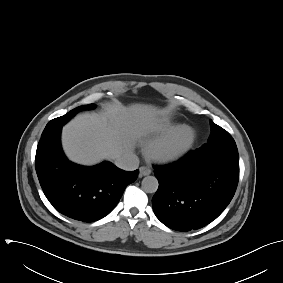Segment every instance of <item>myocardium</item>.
I'll use <instances>...</instances> for the list:
<instances>
[{
	"instance_id": "1",
	"label": "myocardium",
	"mask_w": 283,
	"mask_h": 283,
	"mask_svg": "<svg viewBox=\"0 0 283 283\" xmlns=\"http://www.w3.org/2000/svg\"><path fill=\"white\" fill-rule=\"evenodd\" d=\"M196 131L182 125L163 138L151 143L147 148L148 156L159 163H173L183 158L194 146Z\"/></svg>"
}]
</instances>
